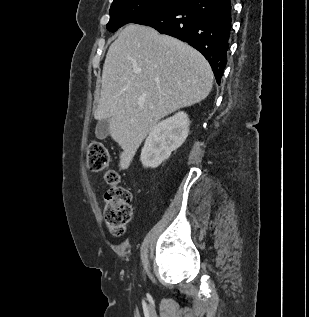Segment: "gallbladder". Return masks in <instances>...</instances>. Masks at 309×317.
Returning <instances> with one entry per match:
<instances>
[{"label": "gallbladder", "instance_id": "gallbladder-1", "mask_svg": "<svg viewBox=\"0 0 309 317\" xmlns=\"http://www.w3.org/2000/svg\"><path fill=\"white\" fill-rule=\"evenodd\" d=\"M95 135L98 139H105L109 135L108 119H102L97 122Z\"/></svg>", "mask_w": 309, "mask_h": 317}]
</instances>
